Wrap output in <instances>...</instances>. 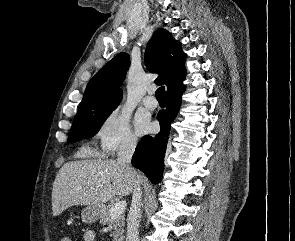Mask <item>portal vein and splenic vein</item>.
<instances>
[{"instance_id": "obj_1", "label": "portal vein and splenic vein", "mask_w": 295, "mask_h": 241, "mask_svg": "<svg viewBox=\"0 0 295 241\" xmlns=\"http://www.w3.org/2000/svg\"><path fill=\"white\" fill-rule=\"evenodd\" d=\"M126 209V201H120L114 204L110 210L111 218L114 219L123 214Z\"/></svg>"}]
</instances>
